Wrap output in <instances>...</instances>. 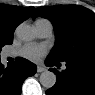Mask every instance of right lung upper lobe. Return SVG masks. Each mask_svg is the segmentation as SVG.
Segmentation results:
<instances>
[{
  "label": "right lung upper lobe",
  "instance_id": "obj_1",
  "mask_svg": "<svg viewBox=\"0 0 95 95\" xmlns=\"http://www.w3.org/2000/svg\"><path fill=\"white\" fill-rule=\"evenodd\" d=\"M34 7L0 4V44H12L16 26L28 19Z\"/></svg>",
  "mask_w": 95,
  "mask_h": 95
}]
</instances>
